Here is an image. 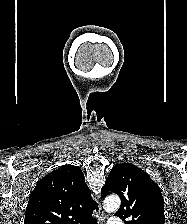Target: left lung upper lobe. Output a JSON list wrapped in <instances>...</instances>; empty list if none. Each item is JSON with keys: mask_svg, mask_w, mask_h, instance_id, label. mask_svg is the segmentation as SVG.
Wrapping results in <instances>:
<instances>
[{"mask_svg": "<svg viewBox=\"0 0 187 224\" xmlns=\"http://www.w3.org/2000/svg\"><path fill=\"white\" fill-rule=\"evenodd\" d=\"M110 194L121 198L115 215L125 224H164V199L160 188L137 166L122 163L112 168L101 189V197Z\"/></svg>", "mask_w": 187, "mask_h": 224, "instance_id": "left-lung-upper-lobe-1", "label": "left lung upper lobe"}]
</instances>
